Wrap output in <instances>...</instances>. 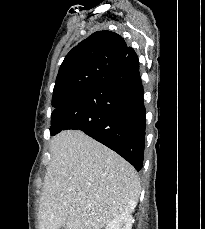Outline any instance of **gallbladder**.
Here are the masks:
<instances>
[{
  "label": "gallbladder",
  "mask_w": 205,
  "mask_h": 229,
  "mask_svg": "<svg viewBox=\"0 0 205 229\" xmlns=\"http://www.w3.org/2000/svg\"><path fill=\"white\" fill-rule=\"evenodd\" d=\"M59 229H66L64 226L60 227Z\"/></svg>",
  "instance_id": "gallbladder-1"
}]
</instances>
